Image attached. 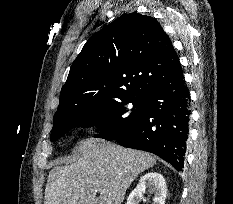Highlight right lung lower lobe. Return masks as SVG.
I'll return each instance as SVG.
<instances>
[{"mask_svg": "<svg viewBox=\"0 0 233 204\" xmlns=\"http://www.w3.org/2000/svg\"><path fill=\"white\" fill-rule=\"evenodd\" d=\"M190 115L189 89L179 62L147 94L144 112L138 120L108 140L156 154L181 170L184 167Z\"/></svg>", "mask_w": 233, "mask_h": 204, "instance_id": "98d812e1", "label": "right lung lower lobe"}]
</instances>
